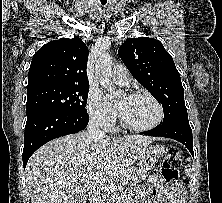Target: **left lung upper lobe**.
<instances>
[{
	"label": "left lung upper lobe",
	"mask_w": 222,
	"mask_h": 203,
	"mask_svg": "<svg viewBox=\"0 0 222 203\" xmlns=\"http://www.w3.org/2000/svg\"><path fill=\"white\" fill-rule=\"evenodd\" d=\"M118 54L136 80L161 102L163 122L188 119L180 74L160 41L130 38L119 47Z\"/></svg>",
	"instance_id": "obj_1"
}]
</instances>
